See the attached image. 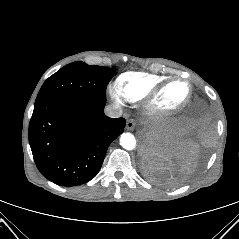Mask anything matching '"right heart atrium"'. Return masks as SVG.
Listing matches in <instances>:
<instances>
[{"instance_id": "1", "label": "right heart atrium", "mask_w": 239, "mask_h": 239, "mask_svg": "<svg viewBox=\"0 0 239 239\" xmlns=\"http://www.w3.org/2000/svg\"><path fill=\"white\" fill-rule=\"evenodd\" d=\"M110 95L116 103L122 104L124 97L122 96L116 85L110 88Z\"/></svg>"}]
</instances>
